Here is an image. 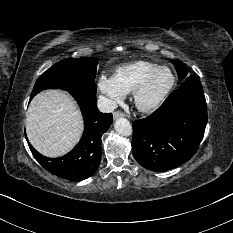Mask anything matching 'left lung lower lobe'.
Returning a JSON list of instances; mask_svg holds the SVG:
<instances>
[{
	"instance_id": "1",
	"label": "left lung lower lobe",
	"mask_w": 233,
	"mask_h": 233,
	"mask_svg": "<svg viewBox=\"0 0 233 233\" xmlns=\"http://www.w3.org/2000/svg\"><path fill=\"white\" fill-rule=\"evenodd\" d=\"M207 124L200 81L188 77L153 114L133 122L132 153L144 168L160 172L188 161L197 151Z\"/></svg>"
}]
</instances>
